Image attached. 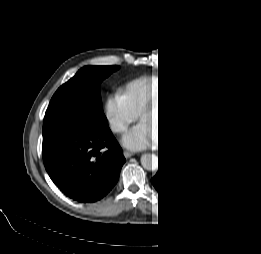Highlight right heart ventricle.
Here are the masks:
<instances>
[{"label": "right heart ventricle", "mask_w": 261, "mask_h": 254, "mask_svg": "<svg viewBox=\"0 0 261 254\" xmlns=\"http://www.w3.org/2000/svg\"><path fill=\"white\" fill-rule=\"evenodd\" d=\"M155 91L158 93V82L155 86L151 80L136 81L127 89L126 97L132 108L138 113L153 99Z\"/></svg>", "instance_id": "e07e8e85"}]
</instances>
